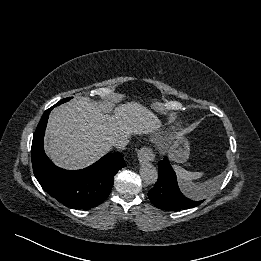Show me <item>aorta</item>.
<instances>
[{"instance_id": "762f6f07", "label": "aorta", "mask_w": 261, "mask_h": 261, "mask_svg": "<svg viewBox=\"0 0 261 261\" xmlns=\"http://www.w3.org/2000/svg\"><path fill=\"white\" fill-rule=\"evenodd\" d=\"M140 176L146 184L152 185L157 182L158 171L151 163H145L140 168Z\"/></svg>"}]
</instances>
